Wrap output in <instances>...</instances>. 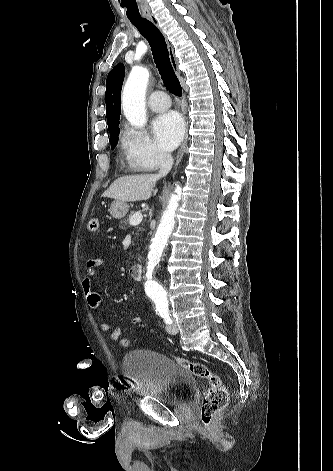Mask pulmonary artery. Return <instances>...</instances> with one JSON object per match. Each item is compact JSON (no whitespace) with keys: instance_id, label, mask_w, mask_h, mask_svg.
I'll return each instance as SVG.
<instances>
[{"instance_id":"e3ab8cb5","label":"pulmonary artery","mask_w":333,"mask_h":471,"mask_svg":"<svg viewBox=\"0 0 333 471\" xmlns=\"http://www.w3.org/2000/svg\"><path fill=\"white\" fill-rule=\"evenodd\" d=\"M170 99L163 91L153 92L148 99V106L154 112H161L170 107Z\"/></svg>"}]
</instances>
